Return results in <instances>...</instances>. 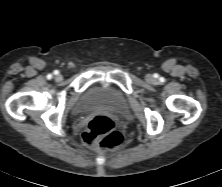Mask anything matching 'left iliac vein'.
Here are the masks:
<instances>
[{
	"label": "left iliac vein",
	"mask_w": 222,
	"mask_h": 187,
	"mask_svg": "<svg viewBox=\"0 0 222 187\" xmlns=\"http://www.w3.org/2000/svg\"><path fill=\"white\" fill-rule=\"evenodd\" d=\"M146 81L149 82V83H152L154 81L153 76L152 75H147Z\"/></svg>",
	"instance_id": "obj_1"
}]
</instances>
